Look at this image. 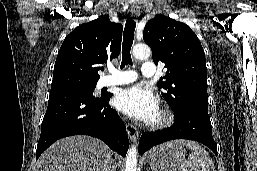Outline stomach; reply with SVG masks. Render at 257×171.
<instances>
[{
    "mask_svg": "<svg viewBox=\"0 0 257 171\" xmlns=\"http://www.w3.org/2000/svg\"><path fill=\"white\" fill-rule=\"evenodd\" d=\"M185 155L182 147L162 144L148 152L146 161L153 171H178L185 162Z\"/></svg>",
    "mask_w": 257,
    "mask_h": 171,
    "instance_id": "obj_1",
    "label": "stomach"
}]
</instances>
